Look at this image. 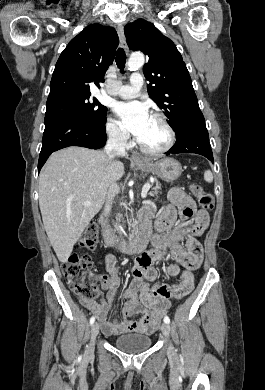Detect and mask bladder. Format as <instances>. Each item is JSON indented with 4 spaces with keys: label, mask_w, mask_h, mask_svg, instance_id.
I'll use <instances>...</instances> for the list:
<instances>
[{
    "label": "bladder",
    "mask_w": 265,
    "mask_h": 390,
    "mask_svg": "<svg viewBox=\"0 0 265 390\" xmlns=\"http://www.w3.org/2000/svg\"><path fill=\"white\" fill-rule=\"evenodd\" d=\"M152 343L151 337L141 334L122 335L114 339V346L126 353L146 351Z\"/></svg>",
    "instance_id": "obj_1"
}]
</instances>
